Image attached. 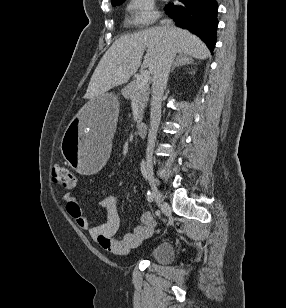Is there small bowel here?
<instances>
[{
    "label": "small bowel",
    "mask_w": 286,
    "mask_h": 308,
    "mask_svg": "<svg viewBox=\"0 0 286 308\" xmlns=\"http://www.w3.org/2000/svg\"><path fill=\"white\" fill-rule=\"evenodd\" d=\"M63 199L66 203V211L76 225L86 231L101 248L117 255H124L136 248L153 234L156 227L153 215L145 212L141 216L139 226H136L131 232L116 237L120 227V217L114 197H105L98 203V207L106 211V220L95 227H91L88 217L84 214L82 204L74 196L66 194Z\"/></svg>",
    "instance_id": "1"
}]
</instances>
